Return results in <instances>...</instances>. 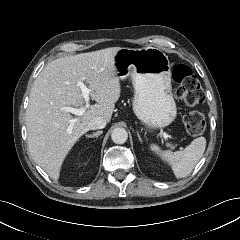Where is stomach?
Returning <instances> with one entry per match:
<instances>
[{
  "instance_id": "0dacf381",
  "label": "stomach",
  "mask_w": 240,
  "mask_h": 240,
  "mask_svg": "<svg viewBox=\"0 0 240 240\" xmlns=\"http://www.w3.org/2000/svg\"><path fill=\"white\" fill-rule=\"evenodd\" d=\"M114 68L119 79L131 77L133 111L148 128H162L175 119L171 64L164 52L154 47L121 48L114 56Z\"/></svg>"
}]
</instances>
